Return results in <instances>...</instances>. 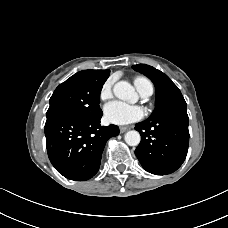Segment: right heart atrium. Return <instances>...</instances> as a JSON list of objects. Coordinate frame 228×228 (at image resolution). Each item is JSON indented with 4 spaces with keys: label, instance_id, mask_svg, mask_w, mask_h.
Segmentation results:
<instances>
[{
    "label": "right heart atrium",
    "instance_id": "right-heart-atrium-1",
    "mask_svg": "<svg viewBox=\"0 0 228 228\" xmlns=\"http://www.w3.org/2000/svg\"><path fill=\"white\" fill-rule=\"evenodd\" d=\"M113 78H108L102 85L99 97L102 101H106L112 97V89H113Z\"/></svg>",
    "mask_w": 228,
    "mask_h": 228
}]
</instances>
